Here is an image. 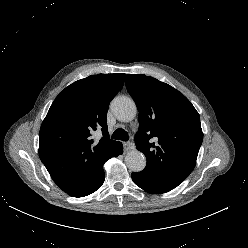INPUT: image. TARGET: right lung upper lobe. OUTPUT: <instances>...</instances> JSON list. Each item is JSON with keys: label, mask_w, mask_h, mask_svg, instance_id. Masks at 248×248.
<instances>
[{"label": "right lung upper lobe", "mask_w": 248, "mask_h": 248, "mask_svg": "<svg viewBox=\"0 0 248 248\" xmlns=\"http://www.w3.org/2000/svg\"><path fill=\"white\" fill-rule=\"evenodd\" d=\"M125 74H98L66 87L52 103L39 132V156L53 181L69 195L88 188L118 142L109 139L107 112ZM103 137L94 143L95 130Z\"/></svg>", "instance_id": "1"}]
</instances>
